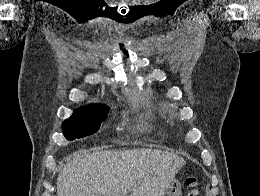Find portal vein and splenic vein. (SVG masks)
<instances>
[{
    "mask_svg": "<svg viewBox=\"0 0 260 196\" xmlns=\"http://www.w3.org/2000/svg\"><path fill=\"white\" fill-rule=\"evenodd\" d=\"M127 190H124V194H126Z\"/></svg>",
    "mask_w": 260,
    "mask_h": 196,
    "instance_id": "18ae733b",
    "label": "portal vein and splenic vein"
}]
</instances>
